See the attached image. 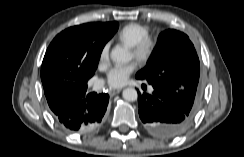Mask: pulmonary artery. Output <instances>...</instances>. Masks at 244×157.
Wrapping results in <instances>:
<instances>
[{
  "label": "pulmonary artery",
  "mask_w": 244,
  "mask_h": 157,
  "mask_svg": "<svg viewBox=\"0 0 244 157\" xmlns=\"http://www.w3.org/2000/svg\"><path fill=\"white\" fill-rule=\"evenodd\" d=\"M100 86H101L100 83H97V84L95 85L96 89L100 88Z\"/></svg>",
  "instance_id": "obj_1"
}]
</instances>
